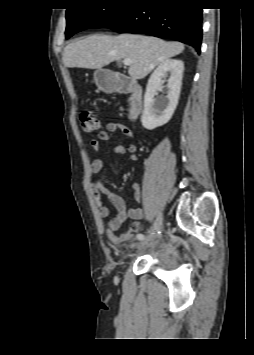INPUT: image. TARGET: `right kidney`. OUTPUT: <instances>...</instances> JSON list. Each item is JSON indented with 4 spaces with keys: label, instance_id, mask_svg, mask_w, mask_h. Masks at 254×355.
<instances>
[{
    "label": "right kidney",
    "instance_id": "1",
    "mask_svg": "<svg viewBox=\"0 0 254 355\" xmlns=\"http://www.w3.org/2000/svg\"><path fill=\"white\" fill-rule=\"evenodd\" d=\"M183 71L184 63L178 59H167L154 70L144 95V110L141 116L144 128L153 130L171 119L178 104ZM168 73V94L166 97L156 98L157 91L164 83L163 78H166Z\"/></svg>",
    "mask_w": 254,
    "mask_h": 355
}]
</instances>
